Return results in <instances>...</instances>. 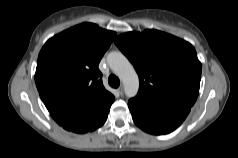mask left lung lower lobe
<instances>
[{
  "label": "left lung lower lobe",
  "mask_w": 238,
  "mask_h": 158,
  "mask_svg": "<svg viewBox=\"0 0 238 158\" xmlns=\"http://www.w3.org/2000/svg\"><path fill=\"white\" fill-rule=\"evenodd\" d=\"M128 107L135 124L145 132L160 135L176 129L187 117L191 106L148 108L130 99Z\"/></svg>",
  "instance_id": "obj_1"
}]
</instances>
